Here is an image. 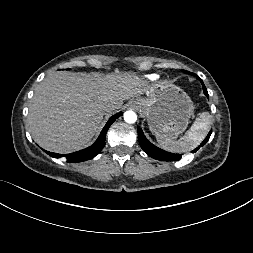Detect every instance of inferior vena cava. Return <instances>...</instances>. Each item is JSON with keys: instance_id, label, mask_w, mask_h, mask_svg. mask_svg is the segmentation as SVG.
<instances>
[{"instance_id": "1", "label": "inferior vena cava", "mask_w": 253, "mask_h": 253, "mask_svg": "<svg viewBox=\"0 0 253 253\" xmlns=\"http://www.w3.org/2000/svg\"><path fill=\"white\" fill-rule=\"evenodd\" d=\"M113 109H114V106L109 104V105L106 106L105 111L106 112H111Z\"/></svg>"}]
</instances>
